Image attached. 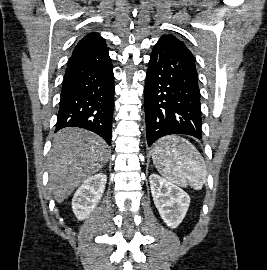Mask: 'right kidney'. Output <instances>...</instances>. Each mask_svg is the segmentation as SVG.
Instances as JSON below:
<instances>
[{
	"instance_id": "obj_1",
	"label": "right kidney",
	"mask_w": 267,
	"mask_h": 270,
	"mask_svg": "<svg viewBox=\"0 0 267 270\" xmlns=\"http://www.w3.org/2000/svg\"><path fill=\"white\" fill-rule=\"evenodd\" d=\"M107 182L103 173L89 177L78 188L72 199V210L79 220H84L99 203Z\"/></svg>"
}]
</instances>
